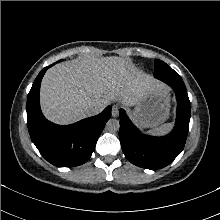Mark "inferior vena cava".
<instances>
[{
	"mask_svg": "<svg viewBox=\"0 0 220 220\" xmlns=\"http://www.w3.org/2000/svg\"><path fill=\"white\" fill-rule=\"evenodd\" d=\"M104 105L103 104H98V103H92V104H89L86 108H85V111H86V114L88 116H94V115H97L99 114L103 109H104Z\"/></svg>",
	"mask_w": 220,
	"mask_h": 220,
	"instance_id": "1",
	"label": "inferior vena cava"
}]
</instances>
